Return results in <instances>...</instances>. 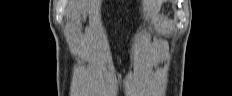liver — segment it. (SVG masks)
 <instances>
[{
  "label": "liver",
  "instance_id": "6515ba94",
  "mask_svg": "<svg viewBox=\"0 0 232 96\" xmlns=\"http://www.w3.org/2000/svg\"><path fill=\"white\" fill-rule=\"evenodd\" d=\"M85 0H73L74 3V8H81L84 4ZM144 6H145V10H147L148 12L156 10L157 7L156 2L154 0H144L143 1Z\"/></svg>",
  "mask_w": 232,
  "mask_h": 96
}]
</instances>
